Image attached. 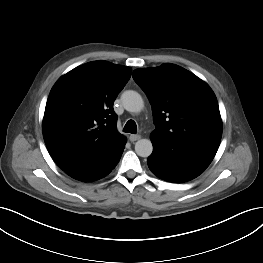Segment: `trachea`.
<instances>
[{"label":"trachea","instance_id":"obj_1","mask_svg":"<svg viewBox=\"0 0 263 263\" xmlns=\"http://www.w3.org/2000/svg\"><path fill=\"white\" fill-rule=\"evenodd\" d=\"M137 131V125L135 123L134 120H129L124 128H123V132H126V133H132V134H135Z\"/></svg>","mask_w":263,"mask_h":263}]
</instances>
